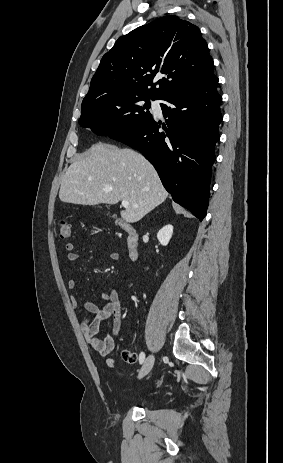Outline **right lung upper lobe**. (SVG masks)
<instances>
[{"instance_id": "right-lung-upper-lobe-1", "label": "right lung upper lobe", "mask_w": 283, "mask_h": 463, "mask_svg": "<svg viewBox=\"0 0 283 463\" xmlns=\"http://www.w3.org/2000/svg\"><path fill=\"white\" fill-rule=\"evenodd\" d=\"M213 67L200 29L186 19L165 16L116 41L102 57L82 105L112 95L161 99L212 80ZM156 76L161 79L153 84Z\"/></svg>"}]
</instances>
